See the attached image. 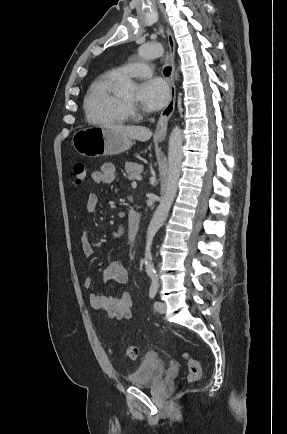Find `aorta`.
<instances>
[{
	"label": "aorta",
	"mask_w": 287,
	"mask_h": 434,
	"mask_svg": "<svg viewBox=\"0 0 287 434\" xmlns=\"http://www.w3.org/2000/svg\"><path fill=\"white\" fill-rule=\"evenodd\" d=\"M138 54L143 59H154L157 57H161L164 54V48L160 43L143 44L139 47ZM134 89L135 84L130 80L127 81L125 85V90L133 91ZM182 143V131L178 126H175L169 137L168 172L165 194L162 196L160 204L157 207L147 230L144 257L145 269L147 273L154 272V264L152 262L151 255L153 238L157 231L160 229V227L163 225L176 197L178 181L181 173V163L183 158Z\"/></svg>",
	"instance_id": "obj_1"
}]
</instances>
